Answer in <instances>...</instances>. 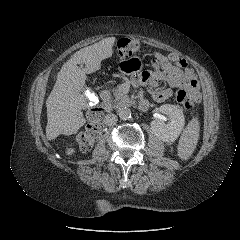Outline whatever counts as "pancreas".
Segmentation results:
<instances>
[{
    "label": "pancreas",
    "mask_w": 240,
    "mask_h": 240,
    "mask_svg": "<svg viewBox=\"0 0 240 240\" xmlns=\"http://www.w3.org/2000/svg\"><path fill=\"white\" fill-rule=\"evenodd\" d=\"M104 102L109 103L114 108H118L120 106L128 105L130 102V98L122 92L120 86H117L113 91V97L105 100Z\"/></svg>",
    "instance_id": "1"
}]
</instances>
